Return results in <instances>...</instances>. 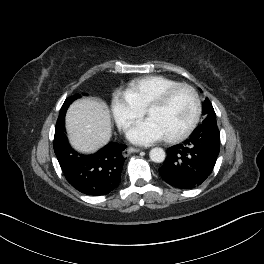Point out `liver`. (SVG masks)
I'll use <instances>...</instances> for the list:
<instances>
[{"label":"liver","mask_w":264,"mask_h":264,"mask_svg":"<svg viewBox=\"0 0 264 264\" xmlns=\"http://www.w3.org/2000/svg\"><path fill=\"white\" fill-rule=\"evenodd\" d=\"M70 144L79 152L92 153L107 144L112 134L110 111L106 103L82 98L71 104L66 113Z\"/></svg>","instance_id":"obj_1"}]
</instances>
